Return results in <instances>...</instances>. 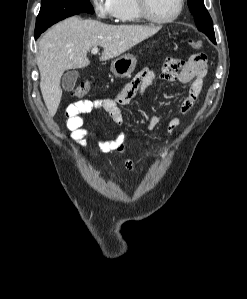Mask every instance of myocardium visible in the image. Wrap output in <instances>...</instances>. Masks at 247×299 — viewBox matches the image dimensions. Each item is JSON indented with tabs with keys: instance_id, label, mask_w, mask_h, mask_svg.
<instances>
[{
	"instance_id": "1",
	"label": "myocardium",
	"mask_w": 247,
	"mask_h": 299,
	"mask_svg": "<svg viewBox=\"0 0 247 299\" xmlns=\"http://www.w3.org/2000/svg\"><path fill=\"white\" fill-rule=\"evenodd\" d=\"M138 11L141 15V17L149 22L155 23V24H168L176 19L181 15L183 8H184V0H178V8L176 12L169 18L160 19L154 17L148 8V1L147 0H136Z\"/></svg>"
}]
</instances>
